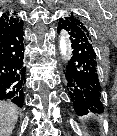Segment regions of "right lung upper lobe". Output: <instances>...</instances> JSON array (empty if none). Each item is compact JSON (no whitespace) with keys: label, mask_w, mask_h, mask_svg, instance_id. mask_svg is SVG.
I'll list each match as a JSON object with an SVG mask.
<instances>
[{"label":"right lung upper lobe","mask_w":117,"mask_h":136,"mask_svg":"<svg viewBox=\"0 0 117 136\" xmlns=\"http://www.w3.org/2000/svg\"><path fill=\"white\" fill-rule=\"evenodd\" d=\"M20 21L17 14L5 13L0 17V40H2L12 29L15 28L17 23Z\"/></svg>","instance_id":"right-lung-upper-lobe-1"}]
</instances>
